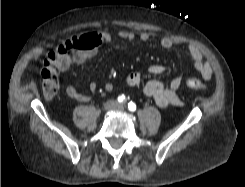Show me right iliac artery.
I'll return each mask as SVG.
<instances>
[{"label":"right iliac artery","instance_id":"82829eb1","mask_svg":"<svg viewBox=\"0 0 245 187\" xmlns=\"http://www.w3.org/2000/svg\"><path fill=\"white\" fill-rule=\"evenodd\" d=\"M126 101V97L124 96V95H120L119 97H118V102L119 103H124Z\"/></svg>","mask_w":245,"mask_h":187}]
</instances>
